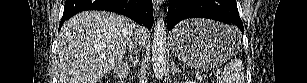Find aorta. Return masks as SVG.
Here are the masks:
<instances>
[{
  "mask_svg": "<svg viewBox=\"0 0 307 83\" xmlns=\"http://www.w3.org/2000/svg\"><path fill=\"white\" fill-rule=\"evenodd\" d=\"M163 13L157 19L153 34L152 45V68L155 77L161 79L166 71V24Z\"/></svg>",
  "mask_w": 307,
  "mask_h": 83,
  "instance_id": "762f6f07",
  "label": "aorta"
}]
</instances>
